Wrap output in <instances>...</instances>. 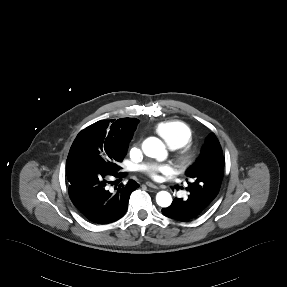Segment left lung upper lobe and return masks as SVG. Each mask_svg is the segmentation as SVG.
<instances>
[{
  "label": "left lung upper lobe",
  "mask_w": 287,
  "mask_h": 287,
  "mask_svg": "<svg viewBox=\"0 0 287 287\" xmlns=\"http://www.w3.org/2000/svg\"><path fill=\"white\" fill-rule=\"evenodd\" d=\"M224 165L219 141L215 134L211 133L205 141L201 155L185 173L191 179V182L187 181V190L200 199L212 202L221 187Z\"/></svg>",
  "instance_id": "obj_1"
}]
</instances>
